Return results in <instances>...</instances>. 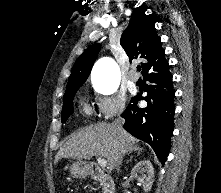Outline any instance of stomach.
<instances>
[{
  "label": "stomach",
  "instance_id": "1",
  "mask_svg": "<svg viewBox=\"0 0 221 193\" xmlns=\"http://www.w3.org/2000/svg\"><path fill=\"white\" fill-rule=\"evenodd\" d=\"M70 172L76 177H83L88 173L87 164L83 161L75 162L71 165Z\"/></svg>",
  "mask_w": 221,
  "mask_h": 193
}]
</instances>
